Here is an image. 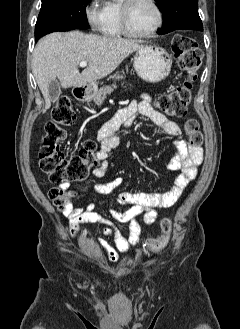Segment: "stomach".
<instances>
[{
	"label": "stomach",
	"instance_id": "0dacf381",
	"mask_svg": "<svg viewBox=\"0 0 240 329\" xmlns=\"http://www.w3.org/2000/svg\"><path fill=\"white\" fill-rule=\"evenodd\" d=\"M172 59L161 47L142 46L134 56V69L138 76L146 82L156 83L166 78L171 70ZM116 78H122L117 76ZM97 92V85L89 83L85 95L93 98Z\"/></svg>",
	"mask_w": 240,
	"mask_h": 329
}]
</instances>
